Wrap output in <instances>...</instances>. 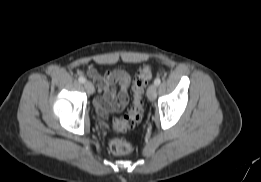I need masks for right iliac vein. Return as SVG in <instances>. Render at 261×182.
<instances>
[{
  "label": "right iliac vein",
  "mask_w": 261,
  "mask_h": 182,
  "mask_svg": "<svg viewBox=\"0 0 261 182\" xmlns=\"http://www.w3.org/2000/svg\"><path fill=\"white\" fill-rule=\"evenodd\" d=\"M85 89L87 90L88 94H93L95 91L94 85L90 81H86L84 83Z\"/></svg>",
  "instance_id": "obj_1"
}]
</instances>
